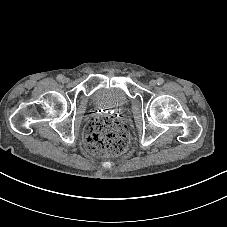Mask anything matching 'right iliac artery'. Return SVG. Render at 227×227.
<instances>
[{
	"instance_id": "obj_1",
	"label": "right iliac artery",
	"mask_w": 227,
	"mask_h": 227,
	"mask_svg": "<svg viewBox=\"0 0 227 227\" xmlns=\"http://www.w3.org/2000/svg\"><path fill=\"white\" fill-rule=\"evenodd\" d=\"M63 78H64V76H63L62 74H59V75L57 76V80H58V81H62Z\"/></svg>"
}]
</instances>
